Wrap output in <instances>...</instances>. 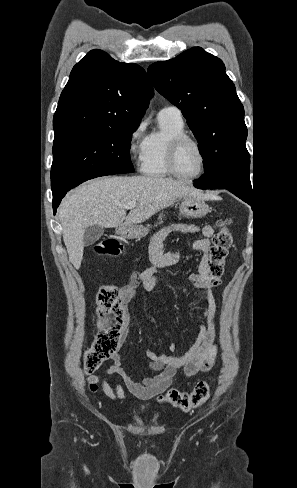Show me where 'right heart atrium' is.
Returning a JSON list of instances; mask_svg holds the SVG:
<instances>
[{
  "label": "right heart atrium",
  "instance_id": "obj_1",
  "mask_svg": "<svg viewBox=\"0 0 297 488\" xmlns=\"http://www.w3.org/2000/svg\"><path fill=\"white\" fill-rule=\"evenodd\" d=\"M145 122H139L131 131L128 139V152L138 162L141 161L145 149Z\"/></svg>",
  "mask_w": 297,
  "mask_h": 488
}]
</instances>
